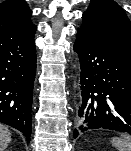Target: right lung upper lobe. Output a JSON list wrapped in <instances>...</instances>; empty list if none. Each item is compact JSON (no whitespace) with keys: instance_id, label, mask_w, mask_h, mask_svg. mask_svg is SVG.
Returning a JSON list of instances; mask_svg holds the SVG:
<instances>
[{"instance_id":"right-lung-upper-lobe-1","label":"right lung upper lobe","mask_w":131,"mask_h":151,"mask_svg":"<svg viewBox=\"0 0 131 151\" xmlns=\"http://www.w3.org/2000/svg\"><path fill=\"white\" fill-rule=\"evenodd\" d=\"M32 11L25 0H8L0 3V37H16L36 30Z\"/></svg>"}]
</instances>
